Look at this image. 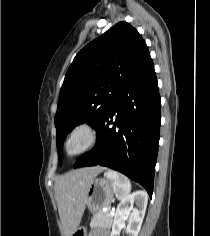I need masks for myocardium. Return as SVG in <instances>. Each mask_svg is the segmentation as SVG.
<instances>
[{
  "mask_svg": "<svg viewBox=\"0 0 210 236\" xmlns=\"http://www.w3.org/2000/svg\"><path fill=\"white\" fill-rule=\"evenodd\" d=\"M78 135L83 137L82 144L77 148H72V142ZM98 130L90 121H80L76 123L67 133L63 150L67 157L74 158L90 150L97 142Z\"/></svg>",
  "mask_w": 210,
  "mask_h": 236,
  "instance_id": "f54148a6",
  "label": "myocardium"
}]
</instances>
